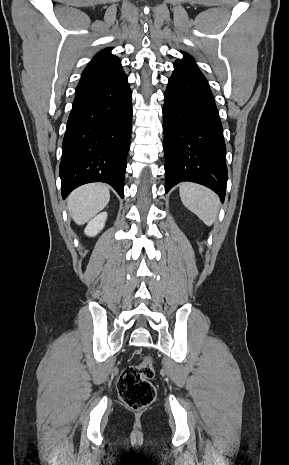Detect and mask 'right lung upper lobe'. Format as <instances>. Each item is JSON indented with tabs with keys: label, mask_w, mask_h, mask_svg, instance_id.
I'll use <instances>...</instances> for the list:
<instances>
[{
	"label": "right lung upper lobe",
	"mask_w": 289,
	"mask_h": 465,
	"mask_svg": "<svg viewBox=\"0 0 289 465\" xmlns=\"http://www.w3.org/2000/svg\"><path fill=\"white\" fill-rule=\"evenodd\" d=\"M111 50H101L86 66L76 94L111 86L125 76L119 58L112 55Z\"/></svg>",
	"instance_id": "cb5924a9"
}]
</instances>
